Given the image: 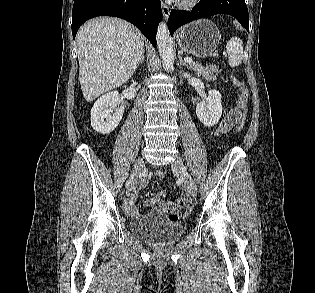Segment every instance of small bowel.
<instances>
[{
    "label": "small bowel",
    "instance_id": "c3829d8e",
    "mask_svg": "<svg viewBox=\"0 0 315 293\" xmlns=\"http://www.w3.org/2000/svg\"><path fill=\"white\" fill-rule=\"evenodd\" d=\"M237 118H240V114L237 108H233L229 110L223 119L220 121L218 126L215 128V133H224L228 130H230L235 124ZM156 176L163 177V174L161 172H156ZM147 180H143L141 182L140 187L144 186L146 184ZM139 187V188H140ZM138 196V189L134 190L130 199L128 200L126 204V211L128 214L132 216H138V212L135 207V201ZM166 196V191H160L156 196L149 198L145 201V205L148 207H151L153 209V212L155 214H160L163 212H168V219L169 220H176L180 213L178 211H175L173 205L170 202L164 201V197Z\"/></svg>",
    "mask_w": 315,
    "mask_h": 293
}]
</instances>
